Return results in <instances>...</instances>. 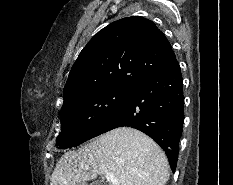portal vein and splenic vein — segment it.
Returning <instances> with one entry per match:
<instances>
[{
  "mask_svg": "<svg viewBox=\"0 0 233 185\" xmlns=\"http://www.w3.org/2000/svg\"><path fill=\"white\" fill-rule=\"evenodd\" d=\"M80 167L83 168V169H89V166H86V165H81ZM105 178L109 182H117V180L115 179V177H114V175L112 173H107L105 175Z\"/></svg>",
  "mask_w": 233,
  "mask_h": 185,
  "instance_id": "obj_1",
  "label": "portal vein and splenic vein"
}]
</instances>
